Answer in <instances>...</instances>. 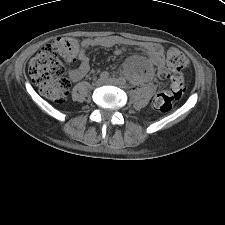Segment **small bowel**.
Segmentation results:
<instances>
[{"instance_id": "1", "label": "small bowel", "mask_w": 225, "mask_h": 225, "mask_svg": "<svg viewBox=\"0 0 225 225\" xmlns=\"http://www.w3.org/2000/svg\"><path fill=\"white\" fill-rule=\"evenodd\" d=\"M118 44V40L115 37H97V38H86L82 42V49L79 54L80 65L77 69L69 71V77L73 82L82 79L90 70L89 58L86 51L92 47H102L111 48ZM141 49L144 50L148 55L147 65L152 66H162L163 64V49L158 44L146 43L141 45ZM125 48H116L114 54L116 56L124 53ZM129 75L132 77L137 76V71L135 68H130Z\"/></svg>"}]
</instances>
